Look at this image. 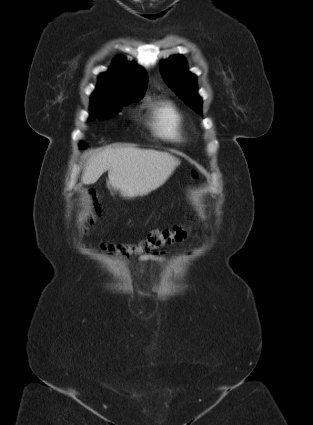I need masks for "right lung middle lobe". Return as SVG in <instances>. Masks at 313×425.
Here are the masks:
<instances>
[{
	"label": "right lung middle lobe",
	"mask_w": 313,
	"mask_h": 425,
	"mask_svg": "<svg viewBox=\"0 0 313 425\" xmlns=\"http://www.w3.org/2000/svg\"><path fill=\"white\" fill-rule=\"evenodd\" d=\"M131 102L133 101L122 97H112L91 102L90 111L92 113L90 114V119H93L95 116L100 119L113 116L121 111L123 106ZM81 146L85 147L84 144H81Z\"/></svg>",
	"instance_id": "obj_1"
}]
</instances>
